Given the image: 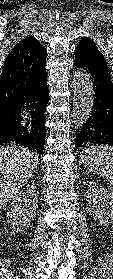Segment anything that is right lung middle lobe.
<instances>
[{
  "label": "right lung middle lobe",
  "instance_id": "1",
  "mask_svg": "<svg viewBox=\"0 0 113 279\" xmlns=\"http://www.w3.org/2000/svg\"><path fill=\"white\" fill-rule=\"evenodd\" d=\"M5 113H6V110L0 111V119L4 116Z\"/></svg>",
  "mask_w": 113,
  "mask_h": 279
}]
</instances>
